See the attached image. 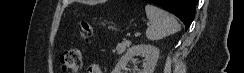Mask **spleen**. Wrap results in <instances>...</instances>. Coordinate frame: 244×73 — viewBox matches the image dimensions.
Wrapping results in <instances>:
<instances>
[{"instance_id":"1","label":"spleen","mask_w":244,"mask_h":73,"mask_svg":"<svg viewBox=\"0 0 244 73\" xmlns=\"http://www.w3.org/2000/svg\"><path fill=\"white\" fill-rule=\"evenodd\" d=\"M145 11L151 22L146 30L148 40L157 41L180 31L181 27L176 18L167 11L152 4H147Z\"/></svg>"}]
</instances>
